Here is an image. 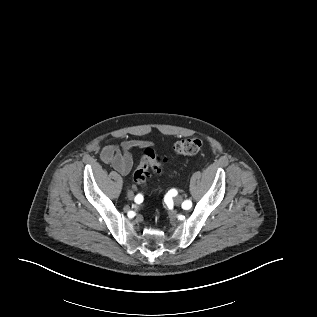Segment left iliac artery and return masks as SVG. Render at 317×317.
Here are the masks:
<instances>
[{"label": "left iliac artery", "instance_id": "1", "mask_svg": "<svg viewBox=\"0 0 317 317\" xmlns=\"http://www.w3.org/2000/svg\"><path fill=\"white\" fill-rule=\"evenodd\" d=\"M191 206H192V202L190 200H185L182 207L184 209H189L191 208Z\"/></svg>", "mask_w": 317, "mask_h": 317}]
</instances>
